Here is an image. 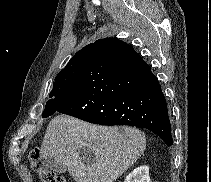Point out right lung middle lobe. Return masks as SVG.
Wrapping results in <instances>:
<instances>
[{
    "label": "right lung middle lobe",
    "instance_id": "1",
    "mask_svg": "<svg viewBox=\"0 0 211 182\" xmlns=\"http://www.w3.org/2000/svg\"><path fill=\"white\" fill-rule=\"evenodd\" d=\"M86 66L77 65L63 69L55 78L53 89L50 92L51 99L46 103L42 117H48L55 112V102L66 98L76 88L79 79Z\"/></svg>",
    "mask_w": 211,
    "mask_h": 182
}]
</instances>
